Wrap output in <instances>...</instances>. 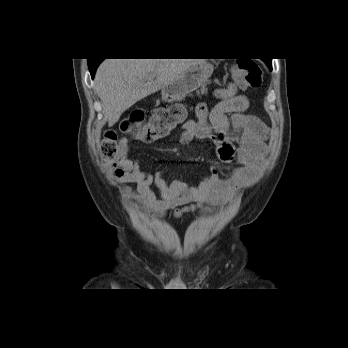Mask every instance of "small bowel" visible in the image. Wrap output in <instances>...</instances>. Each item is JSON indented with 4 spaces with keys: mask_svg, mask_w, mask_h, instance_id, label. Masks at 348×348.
Here are the masks:
<instances>
[{
    "mask_svg": "<svg viewBox=\"0 0 348 348\" xmlns=\"http://www.w3.org/2000/svg\"><path fill=\"white\" fill-rule=\"evenodd\" d=\"M214 96L218 103L211 109L206 103H200L196 108V118L183 123L179 140L182 144H189L196 138H210L220 162L236 163L230 176L222 178L219 169L214 167L196 187H188L180 179L167 181L160 173L143 170L130 155L127 140L123 139L124 149L115 159L106 162V168L117 181L136 185V194H132L128 186L124 187L135 205L159 216H165L169 210L182 205L185 206L175 209V216L204 211L231 201L236 191L258 174L266 154L268 127L259 118L245 114L249 100L237 92L235 84L215 89ZM235 130L240 131L236 139L230 136ZM235 140L239 143L237 148ZM153 187L157 188L161 199L156 198Z\"/></svg>",
    "mask_w": 348,
    "mask_h": 348,
    "instance_id": "small-bowel-1",
    "label": "small bowel"
}]
</instances>
